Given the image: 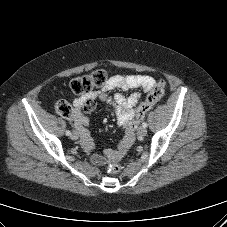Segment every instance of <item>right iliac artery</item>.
I'll return each mask as SVG.
<instances>
[{"instance_id":"right-iliac-artery-1","label":"right iliac artery","mask_w":227,"mask_h":227,"mask_svg":"<svg viewBox=\"0 0 227 227\" xmlns=\"http://www.w3.org/2000/svg\"><path fill=\"white\" fill-rule=\"evenodd\" d=\"M65 133H66L67 136L71 135V132L69 130H66Z\"/></svg>"}]
</instances>
